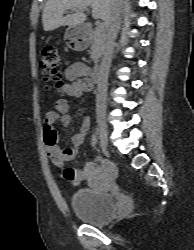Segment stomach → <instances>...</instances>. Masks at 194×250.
I'll use <instances>...</instances> for the list:
<instances>
[{
	"label": "stomach",
	"mask_w": 194,
	"mask_h": 250,
	"mask_svg": "<svg viewBox=\"0 0 194 250\" xmlns=\"http://www.w3.org/2000/svg\"><path fill=\"white\" fill-rule=\"evenodd\" d=\"M64 40L73 45V49L80 51L87 47V39L83 25L69 27L65 34Z\"/></svg>",
	"instance_id": "stomach-1"
}]
</instances>
